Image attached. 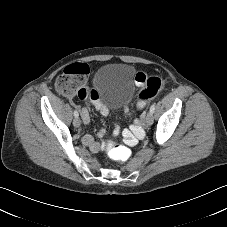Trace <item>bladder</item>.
Listing matches in <instances>:
<instances>
[{
  "mask_svg": "<svg viewBox=\"0 0 227 227\" xmlns=\"http://www.w3.org/2000/svg\"><path fill=\"white\" fill-rule=\"evenodd\" d=\"M134 76L135 69L129 64L104 66L97 72V88L93 91L92 96L95 99L100 98L103 105L108 106L110 102L104 96L107 93L120 105H126L135 92Z\"/></svg>",
  "mask_w": 227,
  "mask_h": 227,
  "instance_id": "1",
  "label": "bladder"
}]
</instances>
